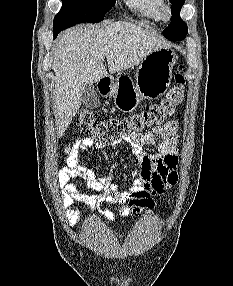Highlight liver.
<instances>
[{"instance_id": "1", "label": "liver", "mask_w": 233, "mask_h": 286, "mask_svg": "<svg viewBox=\"0 0 233 286\" xmlns=\"http://www.w3.org/2000/svg\"><path fill=\"white\" fill-rule=\"evenodd\" d=\"M168 44L148 30L118 21L91 28L78 25L64 32L54 48L55 107L60 138L82 103V90L110 74L138 65ZM107 59L108 71L104 67Z\"/></svg>"}]
</instances>
